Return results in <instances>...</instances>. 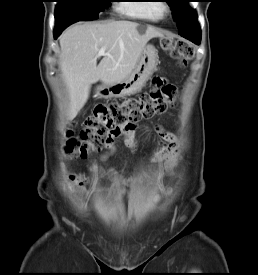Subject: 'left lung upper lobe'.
<instances>
[{"label": "left lung upper lobe", "instance_id": "1", "mask_svg": "<svg viewBox=\"0 0 258 275\" xmlns=\"http://www.w3.org/2000/svg\"><path fill=\"white\" fill-rule=\"evenodd\" d=\"M173 11L179 32L198 23L197 15L189 6V0H166Z\"/></svg>", "mask_w": 258, "mask_h": 275}]
</instances>
